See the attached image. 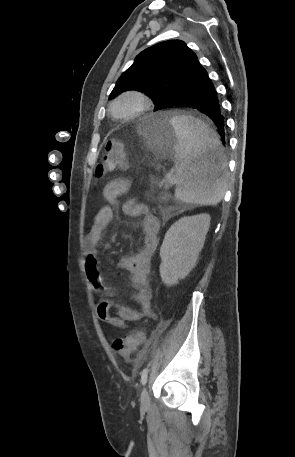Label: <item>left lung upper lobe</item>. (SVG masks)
I'll return each instance as SVG.
<instances>
[{
    "label": "left lung upper lobe",
    "mask_w": 295,
    "mask_h": 457,
    "mask_svg": "<svg viewBox=\"0 0 295 457\" xmlns=\"http://www.w3.org/2000/svg\"><path fill=\"white\" fill-rule=\"evenodd\" d=\"M196 54L181 40H168L142 51L118 79L110 98L128 90L147 94L162 109L164 102L189 86Z\"/></svg>",
    "instance_id": "obj_1"
}]
</instances>
